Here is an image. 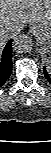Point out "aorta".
Segmentation results:
<instances>
[{
    "mask_svg": "<svg viewBox=\"0 0 51 153\" xmlns=\"http://www.w3.org/2000/svg\"><path fill=\"white\" fill-rule=\"evenodd\" d=\"M33 40L29 35L21 34L13 41V50L18 54H24L32 49Z\"/></svg>",
    "mask_w": 51,
    "mask_h": 153,
    "instance_id": "762f6f07",
    "label": "aorta"
}]
</instances>
